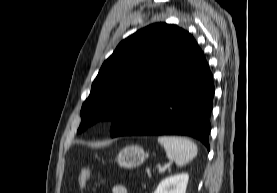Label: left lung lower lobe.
<instances>
[{"label":"left lung lower lobe","mask_w":277,"mask_h":193,"mask_svg":"<svg viewBox=\"0 0 277 193\" xmlns=\"http://www.w3.org/2000/svg\"><path fill=\"white\" fill-rule=\"evenodd\" d=\"M214 85L197 45L188 59L111 136L186 135L209 149Z\"/></svg>","instance_id":"0a47b994"}]
</instances>
